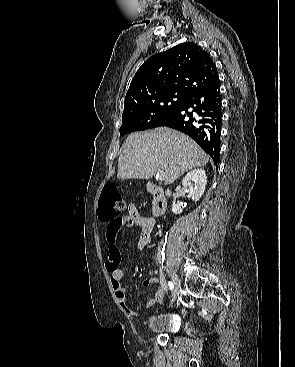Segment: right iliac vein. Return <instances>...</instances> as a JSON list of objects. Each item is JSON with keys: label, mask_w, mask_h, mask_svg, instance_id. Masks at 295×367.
I'll list each match as a JSON object with an SVG mask.
<instances>
[{"label": "right iliac vein", "mask_w": 295, "mask_h": 367, "mask_svg": "<svg viewBox=\"0 0 295 367\" xmlns=\"http://www.w3.org/2000/svg\"><path fill=\"white\" fill-rule=\"evenodd\" d=\"M172 280L174 285V298L172 300L173 303L179 295L181 283L179 277L175 273L172 276Z\"/></svg>", "instance_id": "63e3f726"}]
</instances>
